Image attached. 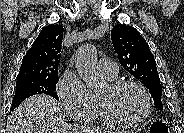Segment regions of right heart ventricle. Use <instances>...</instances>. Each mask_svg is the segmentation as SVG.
<instances>
[{
    "mask_svg": "<svg viewBox=\"0 0 184 133\" xmlns=\"http://www.w3.org/2000/svg\"><path fill=\"white\" fill-rule=\"evenodd\" d=\"M106 78L109 80V81H114L116 77L112 78V77H107ZM96 115L94 117V119L96 118H101L102 120H106L103 113H102V110L100 108V105H99V101H98V98L96 97Z\"/></svg>",
    "mask_w": 184,
    "mask_h": 133,
    "instance_id": "1",
    "label": "right heart ventricle"
}]
</instances>
